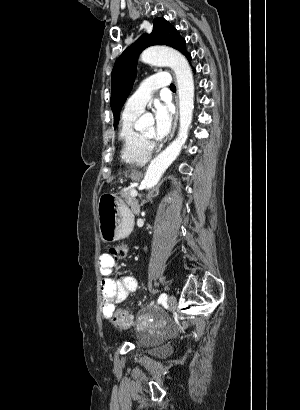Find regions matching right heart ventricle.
<instances>
[{
  "instance_id": "1",
  "label": "right heart ventricle",
  "mask_w": 300,
  "mask_h": 410,
  "mask_svg": "<svg viewBox=\"0 0 300 410\" xmlns=\"http://www.w3.org/2000/svg\"><path fill=\"white\" fill-rule=\"evenodd\" d=\"M137 112L124 111L118 138L121 145V159L126 164L143 165L151 157V148L142 135L134 128V122L138 117Z\"/></svg>"
}]
</instances>
